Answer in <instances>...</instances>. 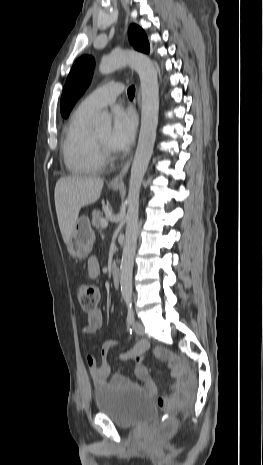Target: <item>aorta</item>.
<instances>
[{
    "label": "aorta",
    "mask_w": 263,
    "mask_h": 465,
    "mask_svg": "<svg viewBox=\"0 0 263 465\" xmlns=\"http://www.w3.org/2000/svg\"><path fill=\"white\" fill-rule=\"evenodd\" d=\"M130 66L140 78L142 111L138 145L131 167L127 197L125 241L120 266L121 293L126 303L132 299V272L138 236L139 196L143 177L147 171L156 139L159 112V85L157 70L152 60L136 51H114L102 59L99 71L109 74L123 66ZM96 130H108L111 118L107 112H101L93 120Z\"/></svg>",
    "instance_id": "762f6f07"
}]
</instances>
